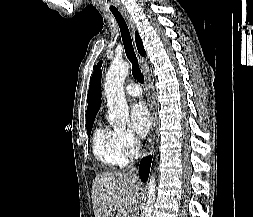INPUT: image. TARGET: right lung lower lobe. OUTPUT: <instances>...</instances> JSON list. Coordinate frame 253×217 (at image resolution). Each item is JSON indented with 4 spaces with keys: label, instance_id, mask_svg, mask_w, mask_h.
<instances>
[{
    "label": "right lung lower lobe",
    "instance_id": "1",
    "mask_svg": "<svg viewBox=\"0 0 253 217\" xmlns=\"http://www.w3.org/2000/svg\"><path fill=\"white\" fill-rule=\"evenodd\" d=\"M151 161H152V157L148 156L146 158H143L140 163L139 173H140V178L143 182H145L148 179Z\"/></svg>",
    "mask_w": 253,
    "mask_h": 217
}]
</instances>
